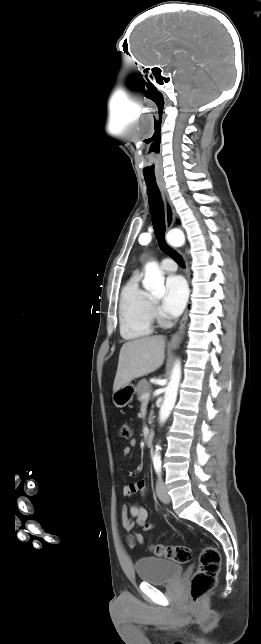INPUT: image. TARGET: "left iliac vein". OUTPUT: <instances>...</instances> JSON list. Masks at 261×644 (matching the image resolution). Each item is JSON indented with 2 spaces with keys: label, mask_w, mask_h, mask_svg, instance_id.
I'll use <instances>...</instances> for the list:
<instances>
[{
  "label": "left iliac vein",
  "mask_w": 261,
  "mask_h": 644,
  "mask_svg": "<svg viewBox=\"0 0 261 644\" xmlns=\"http://www.w3.org/2000/svg\"><path fill=\"white\" fill-rule=\"evenodd\" d=\"M156 492L157 496L165 504H168L171 500L167 488L161 478L158 479L157 484H156Z\"/></svg>",
  "instance_id": "left-iliac-vein-1"
}]
</instances>
